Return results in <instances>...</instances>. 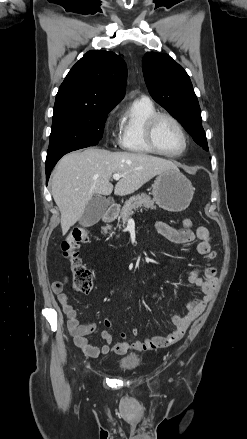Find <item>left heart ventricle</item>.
<instances>
[{"label":"left heart ventricle","instance_id":"obj_1","mask_svg":"<svg viewBox=\"0 0 247 439\" xmlns=\"http://www.w3.org/2000/svg\"><path fill=\"white\" fill-rule=\"evenodd\" d=\"M157 146L168 153L178 152L183 146L182 136L176 125L169 119L162 118L155 127Z\"/></svg>","mask_w":247,"mask_h":439}]
</instances>
